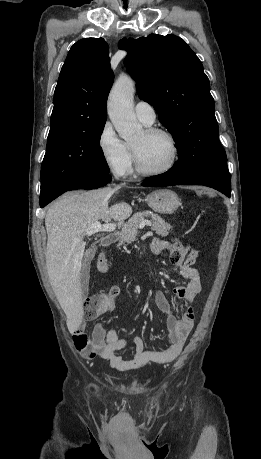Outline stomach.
Segmentation results:
<instances>
[{
	"instance_id": "stomach-1",
	"label": "stomach",
	"mask_w": 261,
	"mask_h": 459,
	"mask_svg": "<svg viewBox=\"0 0 261 459\" xmlns=\"http://www.w3.org/2000/svg\"><path fill=\"white\" fill-rule=\"evenodd\" d=\"M148 206L160 214H172L180 206L177 194L170 189H158L147 195Z\"/></svg>"
}]
</instances>
